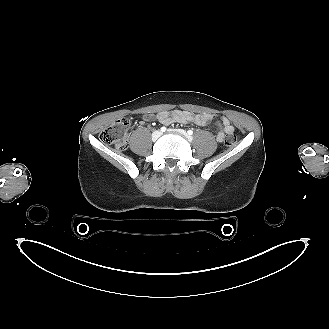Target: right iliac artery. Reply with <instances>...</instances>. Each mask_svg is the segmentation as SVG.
<instances>
[{
  "label": "right iliac artery",
  "mask_w": 329,
  "mask_h": 329,
  "mask_svg": "<svg viewBox=\"0 0 329 329\" xmlns=\"http://www.w3.org/2000/svg\"><path fill=\"white\" fill-rule=\"evenodd\" d=\"M162 132H165L166 131V127H161L160 129Z\"/></svg>",
  "instance_id": "82829eb1"
}]
</instances>
